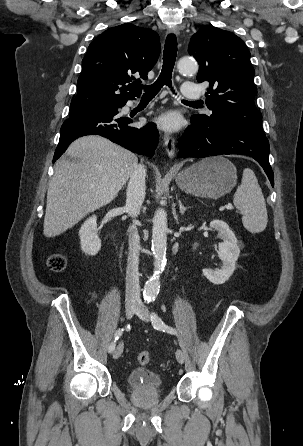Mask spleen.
Segmentation results:
<instances>
[{
  "instance_id": "1",
  "label": "spleen",
  "mask_w": 303,
  "mask_h": 446,
  "mask_svg": "<svg viewBox=\"0 0 303 446\" xmlns=\"http://www.w3.org/2000/svg\"><path fill=\"white\" fill-rule=\"evenodd\" d=\"M234 205L242 213V223L247 231L259 233L265 230L268 222L266 203L254 172L243 170L241 185L237 188Z\"/></svg>"
}]
</instances>
